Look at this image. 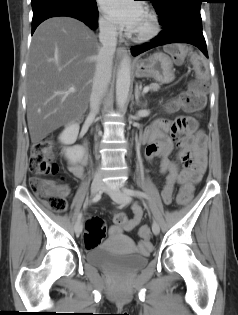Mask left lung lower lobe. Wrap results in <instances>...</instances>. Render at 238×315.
Returning a JSON list of instances; mask_svg holds the SVG:
<instances>
[{
    "label": "left lung lower lobe",
    "mask_w": 238,
    "mask_h": 315,
    "mask_svg": "<svg viewBox=\"0 0 238 315\" xmlns=\"http://www.w3.org/2000/svg\"><path fill=\"white\" fill-rule=\"evenodd\" d=\"M200 7L201 3H183L159 15V23L163 30L150 42L132 47L133 56L165 44L188 43L198 47L208 57L202 33Z\"/></svg>",
    "instance_id": "0a47b994"
}]
</instances>
